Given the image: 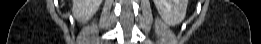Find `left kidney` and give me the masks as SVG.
<instances>
[{
    "mask_svg": "<svg viewBox=\"0 0 261 44\" xmlns=\"http://www.w3.org/2000/svg\"><path fill=\"white\" fill-rule=\"evenodd\" d=\"M162 19L170 26L181 23L186 15L188 0H153Z\"/></svg>",
    "mask_w": 261,
    "mask_h": 44,
    "instance_id": "left-kidney-1",
    "label": "left kidney"
}]
</instances>
